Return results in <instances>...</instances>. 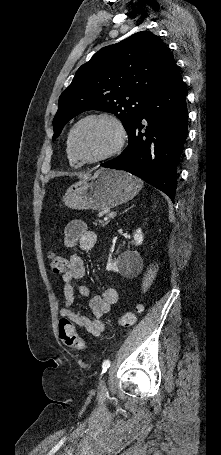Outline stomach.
Wrapping results in <instances>:
<instances>
[{
	"mask_svg": "<svg viewBox=\"0 0 221 455\" xmlns=\"http://www.w3.org/2000/svg\"><path fill=\"white\" fill-rule=\"evenodd\" d=\"M141 188V181L133 175L101 168L88 179L71 185L63 201L69 208L103 211L128 202Z\"/></svg>",
	"mask_w": 221,
	"mask_h": 455,
	"instance_id": "obj_1",
	"label": "stomach"
}]
</instances>
